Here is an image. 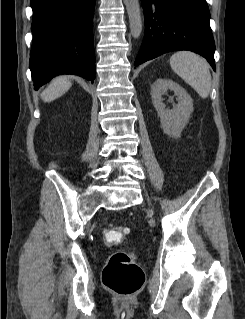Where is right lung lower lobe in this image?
Listing matches in <instances>:
<instances>
[{
  "label": "right lung lower lobe",
  "instance_id": "98d812e1",
  "mask_svg": "<svg viewBox=\"0 0 245 319\" xmlns=\"http://www.w3.org/2000/svg\"><path fill=\"white\" fill-rule=\"evenodd\" d=\"M95 0H31L30 70L37 90L60 74L95 79Z\"/></svg>",
  "mask_w": 245,
  "mask_h": 319
}]
</instances>
